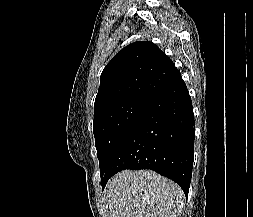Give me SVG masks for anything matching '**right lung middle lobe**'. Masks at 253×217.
I'll list each match as a JSON object with an SVG mask.
<instances>
[{
	"label": "right lung middle lobe",
	"instance_id": "dd1d6c3e",
	"mask_svg": "<svg viewBox=\"0 0 253 217\" xmlns=\"http://www.w3.org/2000/svg\"><path fill=\"white\" fill-rule=\"evenodd\" d=\"M148 102L142 98H128L107 105L94 114L93 133L101 175L118 139Z\"/></svg>",
	"mask_w": 253,
	"mask_h": 217
}]
</instances>
